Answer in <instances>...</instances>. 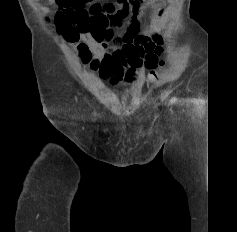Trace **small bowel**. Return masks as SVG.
I'll list each match as a JSON object with an SVG mask.
<instances>
[{"instance_id": "c3829d8e", "label": "small bowel", "mask_w": 237, "mask_h": 232, "mask_svg": "<svg viewBox=\"0 0 237 232\" xmlns=\"http://www.w3.org/2000/svg\"><path fill=\"white\" fill-rule=\"evenodd\" d=\"M173 1L146 0L152 15L143 30L140 29L138 12L134 11L128 22L127 16L109 17L100 33L66 39L75 44L81 60L98 71L102 79H108L112 84H133L139 70H153L158 64L164 44L161 31L170 19ZM116 28H124V32L116 34Z\"/></svg>"}]
</instances>
